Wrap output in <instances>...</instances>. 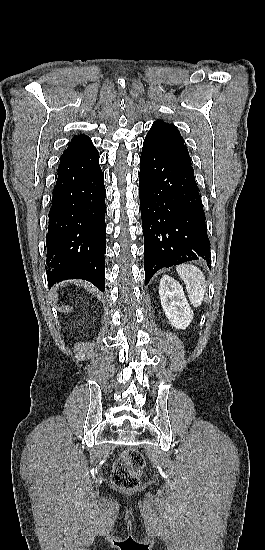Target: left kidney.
<instances>
[{
    "label": "left kidney",
    "instance_id": "5707ae66",
    "mask_svg": "<svg viewBox=\"0 0 265 550\" xmlns=\"http://www.w3.org/2000/svg\"><path fill=\"white\" fill-rule=\"evenodd\" d=\"M159 295L170 324L176 329H186L193 319V311L182 286L172 277L164 275L160 280Z\"/></svg>",
    "mask_w": 265,
    "mask_h": 550
}]
</instances>
